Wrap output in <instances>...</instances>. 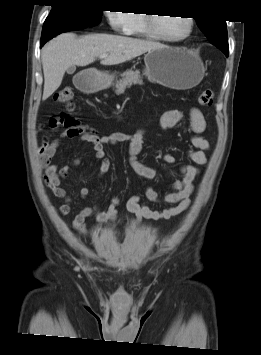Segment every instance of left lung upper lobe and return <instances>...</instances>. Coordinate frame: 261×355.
<instances>
[{"label": "left lung upper lobe", "instance_id": "obj_1", "mask_svg": "<svg viewBox=\"0 0 261 355\" xmlns=\"http://www.w3.org/2000/svg\"><path fill=\"white\" fill-rule=\"evenodd\" d=\"M195 20L208 40L228 57L229 47L226 21L206 18H195Z\"/></svg>", "mask_w": 261, "mask_h": 355}]
</instances>
